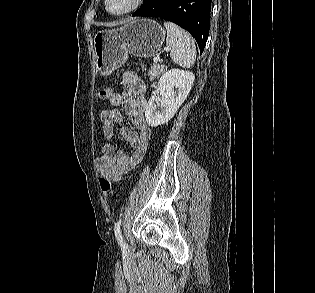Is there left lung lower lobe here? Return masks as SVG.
Returning <instances> with one entry per match:
<instances>
[{
  "label": "left lung lower lobe",
  "mask_w": 315,
  "mask_h": 293,
  "mask_svg": "<svg viewBox=\"0 0 315 293\" xmlns=\"http://www.w3.org/2000/svg\"><path fill=\"white\" fill-rule=\"evenodd\" d=\"M211 0H146L132 16L160 17L186 29L202 53L209 34Z\"/></svg>",
  "instance_id": "obj_1"
}]
</instances>
